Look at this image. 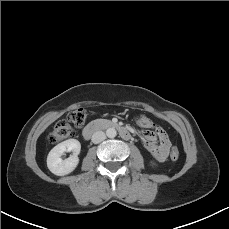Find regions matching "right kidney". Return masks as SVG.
I'll return each mask as SVG.
<instances>
[{
	"label": "right kidney",
	"mask_w": 229,
	"mask_h": 229,
	"mask_svg": "<svg viewBox=\"0 0 229 229\" xmlns=\"http://www.w3.org/2000/svg\"><path fill=\"white\" fill-rule=\"evenodd\" d=\"M81 150V144L76 139H68L56 145L47 156L48 169L57 176H64L71 173L78 165V154ZM73 152L65 160L61 159L64 152Z\"/></svg>",
	"instance_id": "ca27d5eb"
}]
</instances>
